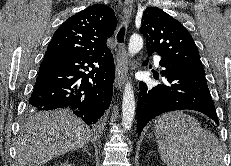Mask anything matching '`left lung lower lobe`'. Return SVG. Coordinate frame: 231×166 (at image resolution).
<instances>
[{
  "label": "left lung lower lobe",
  "mask_w": 231,
  "mask_h": 166,
  "mask_svg": "<svg viewBox=\"0 0 231 166\" xmlns=\"http://www.w3.org/2000/svg\"><path fill=\"white\" fill-rule=\"evenodd\" d=\"M147 62L144 61L143 65ZM160 65L164 67L161 74L166 84L149 87L140 82L139 85L141 91L137 104L138 135L151 119L174 110L199 111L219 124L204 68L176 65L163 59Z\"/></svg>",
  "instance_id": "left-lung-lower-lobe-1"
}]
</instances>
